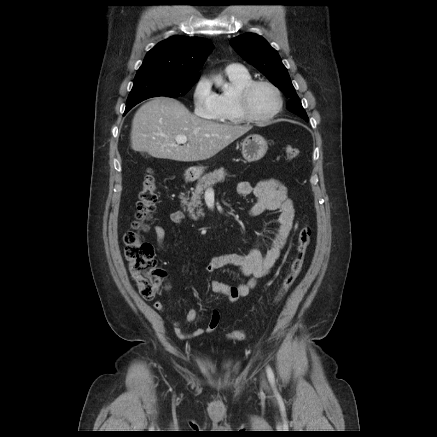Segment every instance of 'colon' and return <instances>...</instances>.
<instances>
[{
	"label": "colon",
	"mask_w": 437,
	"mask_h": 437,
	"mask_svg": "<svg viewBox=\"0 0 437 437\" xmlns=\"http://www.w3.org/2000/svg\"><path fill=\"white\" fill-rule=\"evenodd\" d=\"M285 155L287 159L293 160L298 157L299 149L288 145L285 147ZM156 188V179L150 170L146 173L138 194L135 220L131 229L124 235V254L128 269L141 296L145 299L154 298L165 281L164 273L157 267L153 246L143 238V233L148 230V222L155 210ZM310 239L311 228L308 224H304L298 232L295 256L272 298V304H277L282 299L300 274ZM245 337L244 330H234L228 334V339L234 342L241 341Z\"/></svg>",
	"instance_id": "1"
}]
</instances>
